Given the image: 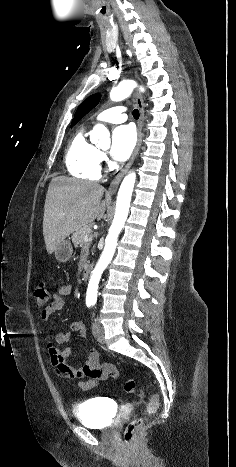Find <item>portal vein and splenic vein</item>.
<instances>
[{
	"mask_svg": "<svg viewBox=\"0 0 236 467\" xmlns=\"http://www.w3.org/2000/svg\"><path fill=\"white\" fill-rule=\"evenodd\" d=\"M91 240H92V236L86 235V236L84 237V241H85V242H89V241H91Z\"/></svg>",
	"mask_w": 236,
	"mask_h": 467,
	"instance_id": "portal-vein-and-splenic-vein-1",
	"label": "portal vein and splenic vein"
}]
</instances>
